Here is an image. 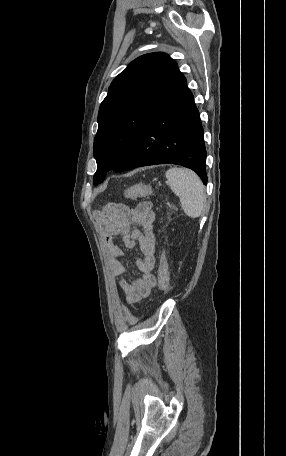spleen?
Listing matches in <instances>:
<instances>
[{"instance_id": "1", "label": "spleen", "mask_w": 286, "mask_h": 456, "mask_svg": "<svg viewBox=\"0 0 286 456\" xmlns=\"http://www.w3.org/2000/svg\"><path fill=\"white\" fill-rule=\"evenodd\" d=\"M165 176L171 190L179 197L184 213L198 218L206 205L204 186L198 175L185 168H171Z\"/></svg>"}]
</instances>
